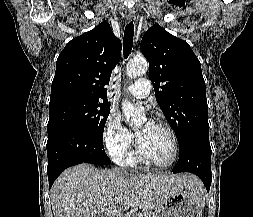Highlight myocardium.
I'll return each mask as SVG.
<instances>
[{"instance_id":"f54148a6","label":"myocardium","mask_w":253,"mask_h":217,"mask_svg":"<svg viewBox=\"0 0 253 217\" xmlns=\"http://www.w3.org/2000/svg\"><path fill=\"white\" fill-rule=\"evenodd\" d=\"M153 125L156 126V127L164 129L169 134V136L171 138V141H172V146H173L172 156H171V158L168 162L163 163V164H158V163L152 162L144 154V152L141 148V145H140L139 138L137 136L136 137V156H137V159L142 164H144L148 167H151V168H155V169H159V170L168 169L172 165H174V163L177 161V158H178V155H179V142H178L177 135H176L174 129L167 123L156 122Z\"/></svg>"}]
</instances>
